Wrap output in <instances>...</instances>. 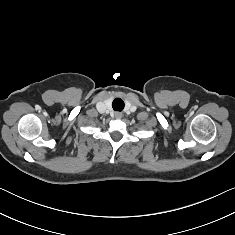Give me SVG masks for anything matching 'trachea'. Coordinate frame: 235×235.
Masks as SVG:
<instances>
[{
	"instance_id": "1",
	"label": "trachea",
	"mask_w": 235,
	"mask_h": 235,
	"mask_svg": "<svg viewBox=\"0 0 235 235\" xmlns=\"http://www.w3.org/2000/svg\"><path fill=\"white\" fill-rule=\"evenodd\" d=\"M112 107L115 111H122L124 108V102L122 99L117 98L113 101Z\"/></svg>"
}]
</instances>
